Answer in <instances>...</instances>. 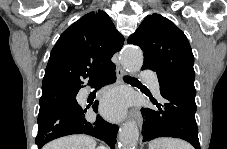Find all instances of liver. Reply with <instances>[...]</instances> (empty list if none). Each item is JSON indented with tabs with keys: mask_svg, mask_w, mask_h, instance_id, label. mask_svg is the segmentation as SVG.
I'll return each mask as SVG.
<instances>
[{
	"mask_svg": "<svg viewBox=\"0 0 227 149\" xmlns=\"http://www.w3.org/2000/svg\"><path fill=\"white\" fill-rule=\"evenodd\" d=\"M96 142L92 137L86 135H70L56 139L43 149H95Z\"/></svg>",
	"mask_w": 227,
	"mask_h": 149,
	"instance_id": "1",
	"label": "liver"
}]
</instances>
